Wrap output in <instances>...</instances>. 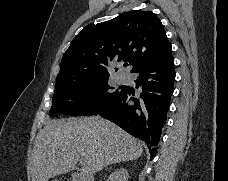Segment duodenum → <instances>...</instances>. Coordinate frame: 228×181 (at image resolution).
I'll return each mask as SVG.
<instances>
[{
  "instance_id": "1",
  "label": "duodenum",
  "mask_w": 228,
  "mask_h": 181,
  "mask_svg": "<svg viewBox=\"0 0 228 181\" xmlns=\"http://www.w3.org/2000/svg\"><path fill=\"white\" fill-rule=\"evenodd\" d=\"M73 178L74 179H83L84 178V175L83 174H74L73 175Z\"/></svg>"
}]
</instances>
